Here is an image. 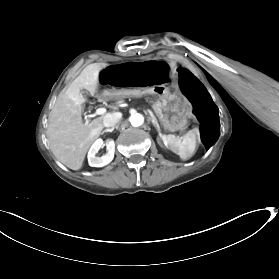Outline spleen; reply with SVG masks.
Instances as JSON below:
<instances>
[{
	"instance_id": "3e777b00",
	"label": "spleen",
	"mask_w": 279,
	"mask_h": 279,
	"mask_svg": "<svg viewBox=\"0 0 279 279\" xmlns=\"http://www.w3.org/2000/svg\"><path fill=\"white\" fill-rule=\"evenodd\" d=\"M166 142L173 153L179 155L183 160H188L195 152L196 134L194 131H189L182 139L170 134L167 135Z\"/></svg>"
}]
</instances>
